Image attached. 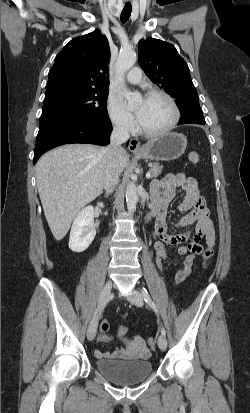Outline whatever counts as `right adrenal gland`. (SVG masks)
Returning <instances> with one entry per match:
<instances>
[{
    "instance_id": "right-adrenal-gland-1",
    "label": "right adrenal gland",
    "mask_w": 250,
    "mask_h": 413,
    "mask_svg": "<svg viewBox=\"0 0 250 413\" xmlns=\"http://www.w3.org/2000/svg\"><path fill=\"white\" fill-rule=\"evenodd\" d=\"M108 195H109V194L106 193L104 196H105V197H108Z\"/></svg>"
}]
</instances>
